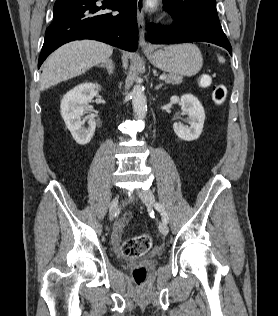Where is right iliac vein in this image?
<instances>
[{
  "label": "right iliac vein",
  "instance_id": "right-iliac-vein-1",
  "mask_svg": "<svg viewBox=\"0 0 278 316\" xmlns=\"http://www.w3.org/2000/svg\"><path fill=\"white\" fill-rule=\"evenodd\" d=\"M117 207H118V196H116L112 200V202L110 204V207H109V218H110V220H113L114 215H115V213L117 211Z\"/></svg>",
  "mask_w": 278,
  "mask_h": 316
}]
</instances>
